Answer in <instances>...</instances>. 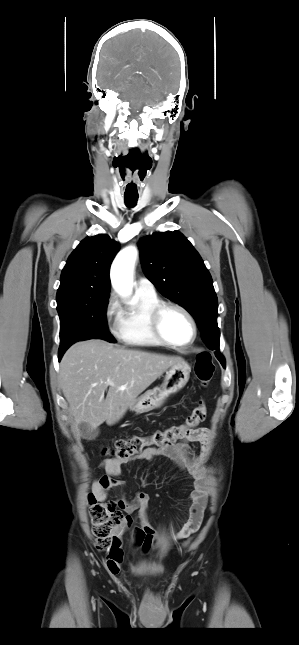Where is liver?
<instances>
[{
    "label": "liver",
    "instance_id": "1",
    "mask_svg": "<svg viewBox=\"0 0 299 645\" xmlns=\"http://www.w3.org/2000/svg\"><path fill=\"white\" fill-rule=\"evenodd\" d=\"M182 360L114 346L99 339L75 343L61 360L59 384L76 430L83 422L91 429L104 422L114 425L144 390ZM108 381L113 385H108Z\"/></svg>",
    "mask_w": 299,
    "mask_h": 645
}]
</instances>
